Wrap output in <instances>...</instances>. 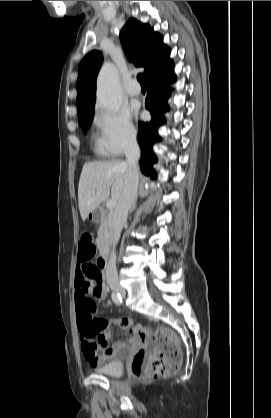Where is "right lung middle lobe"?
Masks as SVG:
<instances>
[{
	"mask_svg": "<svg viewBox=\"0 0 271 418\" xmlns=\"http://www.w3.org/2000/svg\"><path fill=\"white\" fill-rule=\"evenodd\" d=\"M78 118H79V124L83 127V131L86 132L85 128L88 129L93 120V110L86 114L78 116Z\"/></svg>",
	"mask_w": 271,
	"mask_h": 418,
	"instance_id": "right-lung-middle-lobe-1",
	"label": "right lung middle lobe"
}]
</instances>
